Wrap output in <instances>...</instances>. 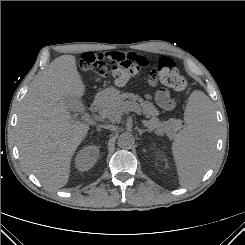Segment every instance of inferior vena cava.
<instances>
[{
    "instance_id": "1",
    "label": "inferior vena cava",
    "mask_w": 245,
    "mask_h": 245,
    "mask_svg": "<svg viewBox=\"0 0 245 245\" xmlns=\"http://www.w3.org/2000/svg\"><path fill=\"white\" fill-rule=\"evenodd\" d=\"M100 126L111 131H115L117 129L115 125H100Z\"/></svg>"
}]
</instances>
